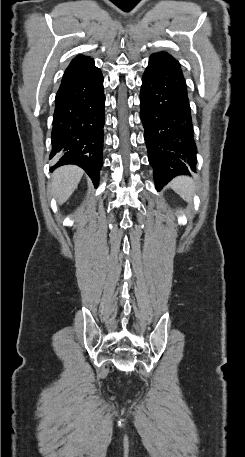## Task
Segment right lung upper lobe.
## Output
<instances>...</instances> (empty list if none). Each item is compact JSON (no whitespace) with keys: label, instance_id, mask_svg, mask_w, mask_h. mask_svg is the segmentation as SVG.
<instances>
[{"label":"right lung upper lobe","instance_id":"obj_1","mask_svg":"<svg viewBox=\"0 0 245 457\" xmlns=\"http://www.w3.org/2000/svg\"><path fill=\"white\" fill-rule=\"evenodd\" d=\"M92 58L79 55L67 67L63 77L74 76L96 69Z\"/></svg>","mask_w":245,"mask_h":457}]
</instances>
